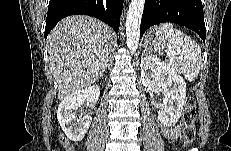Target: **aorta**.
Masks as SVG:
<instances>
[{
  "label": "aorta",
  "mask_w": 231,
  "mask_h": 151,
  "mask_svg": "<svg viewBox=\"0 0 231 151\" xmlns=\"http://www.w3.org/2000/svg\"><path fill=\"white\" fill-rule=\"evenodd\" d=\"M145 0H131L126 19V43L134 53L139 44L140 23L144 10Z\"/></svg>",
  "instance_id": "1"
}]
</instances>
